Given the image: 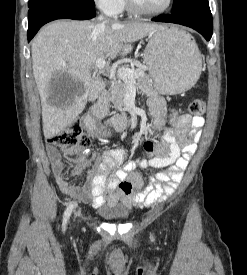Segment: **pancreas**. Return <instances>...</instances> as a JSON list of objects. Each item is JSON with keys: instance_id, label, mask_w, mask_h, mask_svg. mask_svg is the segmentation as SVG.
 Wrapping results in <instances>:
<instances>
[{"instance_id": "1", "label": "pancreas", "mask_w": 247, "mask_h": 275, "mask_svg": "<svg viewBox=\"0 0 247 275\" xmlns=\"http://www.w3.org/2000/svg\"><path fill=\"white\" fill-rule=\"evenodd\" d=\"M135 86L141 91L142 94L153 95L155 90L153 82L149 75L144 74L135 80ZM128 91V82L125 80L114 81L110 89L109 101L113 103L114 108L123 112L125 104V96Z\"/></svg>"}]
</instances>
